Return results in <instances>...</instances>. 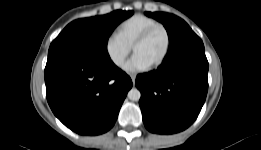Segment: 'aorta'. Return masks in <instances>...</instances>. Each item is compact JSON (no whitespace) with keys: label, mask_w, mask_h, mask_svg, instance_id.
<instances>
[{"label":"aorta","mask_w":261,"mask_h":150,"mask_svg":"<svg viewBox=\"0 0 261 150\" xmlns=\"http://www.w3.org/2000/svg\"><path fill=\"white\" fill-rule=\"evenodd\" d=\"M128 98L132 101H138L141 97V93L137 88H132L129 92H128Z\"/></svg>","instance_id":"obj_1"}]
</instances>
